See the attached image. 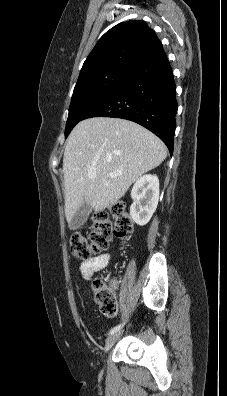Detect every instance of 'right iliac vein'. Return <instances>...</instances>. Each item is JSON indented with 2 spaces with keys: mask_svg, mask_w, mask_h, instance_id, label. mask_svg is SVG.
Instances as JSON below:
<instances>
[{
  "mask_svg": "<svg viewBox=\"0 0 227 396\" xmlns=\"http://www.w3.org/2000/svg\"><path fill=\"white\" fill-rule=\"evenodd\" d=\"M120 335H121V332H116V333L111 334L107 338L106 343H105V347H104V352L105 353H107L111 349V347L115 344V342L118 340Z\"/></svg>",
  "mask_w": 227,
  "mask_h": 396,
  "instance_id": "63e3f726",
  "label": "right iliac vein"
}]
</instances>
